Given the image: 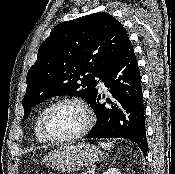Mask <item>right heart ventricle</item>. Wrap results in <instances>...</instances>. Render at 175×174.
<instances>
[{"label":"right heart ventricle","mask_w":175,"mask_h":174,"mask_svg":"<svg viewBox=\"0 0 175 174\" xmlns=\"http://www.w3.org/2000/svg\"><path fill=\"white\" fill-rule=\"evenodd\" d=\"M41 115H42V112L36 117L35 124H34V133L39 142L46 143L48 142V140L45 138L40 128Z\"/></svg>","instance_id":"1"}]
</instances>
